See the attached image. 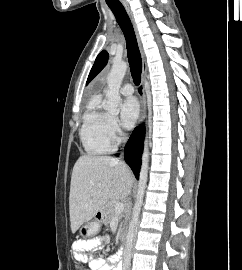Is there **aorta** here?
<instances>
[{
	"mask_svg": "<svg viewBox=\"0 0 242 270\" xmlns=\"http://www.w3.org/2000/svg\"><path fill=\"white\" fill-rule=\"evenodd\" d=\"M127 70V64L125 62H116L113 64L110 73L107 76V101L103 105L104 110L111 114L116 115L118 113V106L121 101L119 89L122 80ZM148 137L146 136L144 143V152L142 155V165L140 170V177L138 183L137 197L135 205L132 211V218L129 223V229L126 237V245L124 250L125 258L131 257V251L133 248L134 239L137 233V226L139 222V215L143 204L144 193L146 189L147 177H148V164H149V151H148Z\"/></svg>",
	"mask_w": 242,
	"mask_h": 270,
	"instance_id": "762f6f07",
	"label": "aorta"
}]
</instances>
